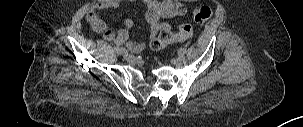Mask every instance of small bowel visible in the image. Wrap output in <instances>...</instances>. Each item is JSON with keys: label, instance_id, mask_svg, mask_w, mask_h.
<instances>
[{"label": "small bowel", "instance_id": "1", "mask_svg": "<svg viewBox=\"0 0 303 127\" xmlns=\"http://www.w3.org/2000/svg\"><path fill=\"white\" fill-rule=\"evenodd\" d=\"M123 1L135 2L138 0H99L88 9L86 20L95 32L102 34L104 40L113 42L119 48L125 46L129 52L138 54L145 49L146 45L129 40L130 30L134 25L132 19L126 18L122 27L115 32L98 15L99 11L118 8ZM140 1L146 6L145 18L149 25L150 37H155L162 30H170V24L163 19L183 16L187 12L185 5L173 0Z\"/></svg>", "mask_w": 303, "mask_h": 127}]
</instances>
